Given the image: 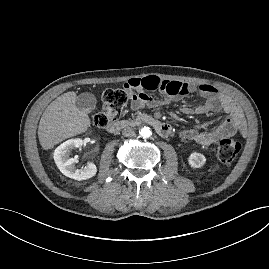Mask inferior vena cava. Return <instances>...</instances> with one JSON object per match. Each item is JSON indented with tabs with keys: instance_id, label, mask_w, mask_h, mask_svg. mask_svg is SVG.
<instances>
[{
	"instance_id": "obj_1",
	"label": "inferior vena cava",
	"mask_w": 269,
	"mask_h": 269,
	"mask_svg": "<svg viewBox=\"0 0 269 269\" xmlns=\"http://www.w3.org/2000/svg\"><path fill=\"white\" fill-rule=\"evenodd\" d=\"M122 135L124 137H133L135 135V131L131 127H126V128L123 129Z\"/></svg>"
}]
</instances>
